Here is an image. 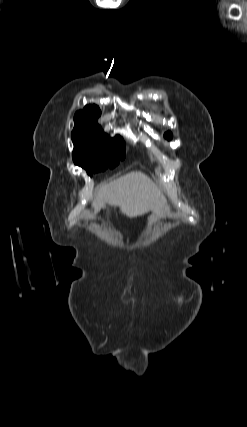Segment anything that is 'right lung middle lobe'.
<instances>
[{
    "label": "right lung middle lobe",
    "mask_w": 247,
    "mask_h": 427,
    "mask_svg": "<svg viewBox=\"0 0 247 427\" xmlns=\"http://www.w3.org/2000/svg\"><path fill=\"white\" fill-rule=\"evenodd\" d=\"M71 137L73 161L90 176L113 169L125 158V145L119 135L110 139L101 129L75 125Z\"/></svg>",
    "instance_id": "obj_1"
}]
</instances>
